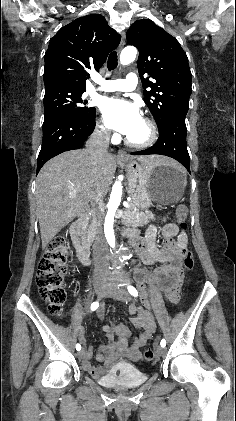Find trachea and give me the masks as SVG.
Wrapping results in <instances>:
<instances>
[{
	"mask_svg": "<svg viewBox=\"0 0 236 421\" xmlns=\"http://www.w3.org/2000/svg\"><path fill=\"white\" fill-rule=\"evenodd\" d=\"M118 65V60H117V53L116 51H112L108 57V61H107V67L108 70H115V68H117Z\"/></svg>",
	"mask_w": 236,
	"mask_h": 421,
	"instance_id": "3493384b",
	"label": "trachea"
}]
</instances>
